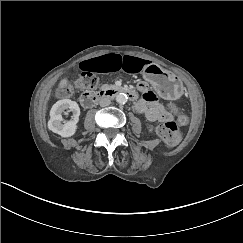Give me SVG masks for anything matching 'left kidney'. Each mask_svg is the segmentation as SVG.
Wrapping results in <instances>:
<instances>
[{"mask_svg":"<svg viewBox=\"0 0 243 243\" xmlns=\"http://www.w3.org/2000/svg\"><path fill=\"white\" fill-rule=\"evenodd\" d=\"M153 130V126H149V131H152Z\"/></svg>","mask_w":243,"mask_h":243,"instance_id":"left-kidney-1","label":"left kidney"}]
</instances>
